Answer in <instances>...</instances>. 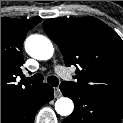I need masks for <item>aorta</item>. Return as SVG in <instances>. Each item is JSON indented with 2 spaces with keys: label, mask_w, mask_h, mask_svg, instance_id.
<instances>
[{
  "label": "aorta",
  "mask_w": 123,
  "mask_h": 123,
  "mask_svg": "<svg viewBox=\"0 0 123 123\" xmlns=\"http://www.w3.org/2000/svg\"><path fill=\"white\" fill-rule=\"evenodd\" d=\"M27 53L38 60H48L53 56L52 42L43 35L34 34L25 40ZM55 110L61 116H69L74 110V103L70 98L61 97L55 102Z\"/></svg>",
  "instance_id": "1"
}]
</instances>
